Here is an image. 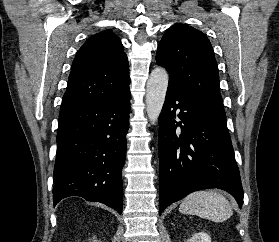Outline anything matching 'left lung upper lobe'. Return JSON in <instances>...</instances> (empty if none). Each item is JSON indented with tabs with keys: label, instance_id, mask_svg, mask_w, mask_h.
Listing matches in <instances>:
<instances>
[{
	"label": "left lung upper lobe",
	"instance_id": "5c2ea615",
	"mask_svg": "<svg viewBox=\"0 0 279 242\" xmlns=\"http://www.w3.org/2000/svg\"><path fill=\"white\" fill-rule=\"evenodd\" d=\"M156 61L168 70L171 83L226 121L218 66L211 43L201 31L173 25L158 45Z\"/></svg>",
	"mask_w": 279,
	"mask_h": 242
}]
</instances>
